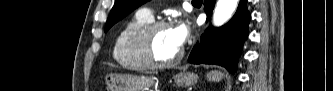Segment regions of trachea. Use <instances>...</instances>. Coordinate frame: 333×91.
Wrapping results in <instances>:
<instances>
[{"label":"trachea","instance_id":"1","mask_svg":"<svg viewBox=\"0 0 333 91\" xmlns=\"http://www.w3.org/2000/svg\"><path fill=\"white\" fill-rule=\"evenodd\" d=\"M192 2H202V0H193Z\"/></svg>","mask_w":333,"mask_h":91}]
</instances>
